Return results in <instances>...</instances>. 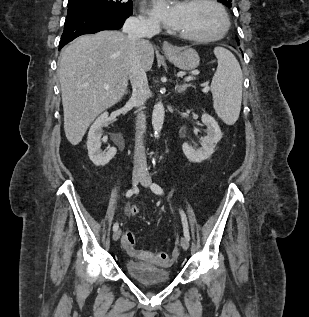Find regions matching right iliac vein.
Segmentation results:
<instances>
[{
    "mask_svg": "<svg viewBox=\"0 0 309 317\" xmlns=\"http://www.w3.org/2000/svg\"><path fill=\"white\" fill-rule=\"evenodd\" d=\"M144 174L141 171H134L132 175V184L136 186L143 178ZM121 230L118 229L113 233V240L117 241L120 238Z\"/></svg>",
    "mask_w": 309,
    "mask_h": 317,
    "instance_id": "obj_1",
    "label": "right iliac vein"
}]
</instances>
